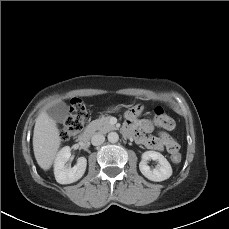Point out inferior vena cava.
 Here are the masks:
<instances>
[{"label":"inferior vena cava","mask_w":229,"mask_h":229,"mask_svg":"<svg viewBox=\"0 0 229 229\" xmlns=\"http://www.w3.org/2000/svg\"><path fill=\"white\" fill-rule=\"evenodd\" d=\"M105 141V137L103 134L96 133L91 138V143L94 146L101 145Z\"/></svg>","instance_id":"1"}]
</instances>
